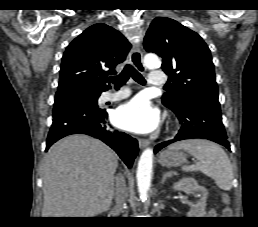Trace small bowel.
<instances>
[{
    "label": "small bowel",
    "instance_id": "1",
    "mask_svg": "<svg viewBox=\"0 0 258 227\" xmlns=\"http://www.w3.org/2000/svg\"><path fill=\"white\" fill-rule=\"evenodd\" d=\"M208 216H215L216 215V212H215V210L214 209H210L209 211H208Z\"/></svg>",
    "mask_w": 258,
    "mask_h": 227
}]
</instances>
